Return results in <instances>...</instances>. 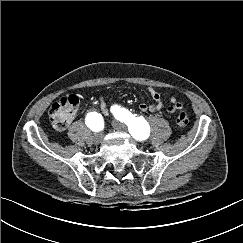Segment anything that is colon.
<instances>
[{"label": "colon", "mask_w": 243, "mask_h": 243, "mask_svg": "<svg viewBox=\"0 0 243 243\" xmlns=\"http://www.w3.org/2000/svg\"><path fill=\"white\" fill-rule=\"evenodd\" d=\"M79 103V98L68 95L53 103L49 109V119L54 129L65 130L72 121ZM177 125L184 128L188 124V116L185 112H180L176 119Z\"/></svg>", "instance_id": "5ec220e1"}]
</instances>
